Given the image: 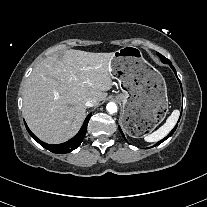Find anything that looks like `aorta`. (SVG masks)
Segmentation results:
<instances>
[{
	"label": "aorta",
	"mask_w": 207,
	"mask_h": 207,
	"mask_svg": "<svg viewBox=\"0 0 207 207\" xmlns=\"http://www.w3.org/2000/svg\"><path fill=\"white\" fill-rule=\"evenodd\" d=\"M106 109L110 114H113L117 112V105L113 102H110L107 104Z\"/></svg>",
	"instance_id": "762f6f07"
}]
</instances>
